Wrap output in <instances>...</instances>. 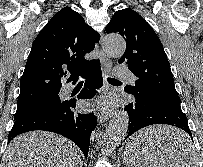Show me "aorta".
Returning a JSON list of instances; mask_svg holds the SVG:
<instances>
[{
  "label": "aorta",
  "mask_w": 203,
  "mask_h": 167,
  "mask_svg": "<svg viewBox=\"0 0 203 167\" xmlns=\"http://www.w3.org/2000/svg\"><path fill=\"white\" fill-rule=\"evenodd\" d=\"M103 49L111 57L120 58L125 52L126 43L120 35H107L103 40ZM128 127V114L124 111L116 113L104 134L102 153L113 151L126 137Z\"/></svg>",
  "instance_id": "obj_1"
}]
</instances>
